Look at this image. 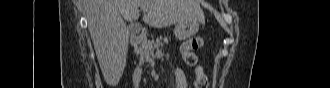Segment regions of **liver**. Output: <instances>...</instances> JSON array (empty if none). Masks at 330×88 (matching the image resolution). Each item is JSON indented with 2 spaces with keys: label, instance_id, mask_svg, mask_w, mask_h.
Listing matches in <instances>:
<instances>
[{
  "label": "liver",
  "instance_id": "obj_1",
  "mask_svg": "<svg viewBox=\"0 0 330 88\" xmlns=\"http://www.w3.org/2000/svg\"><path fill=\"white\" fill-rule=\"evenodd\" d=\"M88 29L105 81L118 84L128 51L130 30L125 21H136L139 8L143 21L155 28L183 20L204 21L196 0H85Z\"/></svg>",
  "mask_w": 330,
  "mask_h": 88
}]
</instances>
